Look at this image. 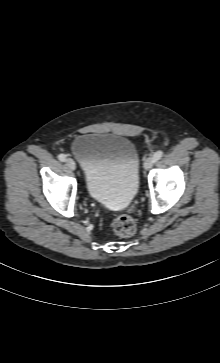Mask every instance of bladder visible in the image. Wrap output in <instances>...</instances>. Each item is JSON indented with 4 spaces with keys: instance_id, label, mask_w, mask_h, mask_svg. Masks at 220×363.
I'll list each match as a JSON object with an SVG mask.
<instances>
[{
    "instance_id": "31cf9c89",
    "label": "bladder",
    "mask_w": 220,
    "mask_h": 363,
    "mask_svg": "<svg viewBox=\"0 0 220 363\" xmlns=\"http://www.w3.org/2000/svg\"><path fill=\"white\" fill-rule=\"evenodd\" d=\"M71 152L80 163L89 196L110 208L127 207L139 188L135 144L117 134L88 133L75 138Z\"/></svg>"
}]
</instances>
